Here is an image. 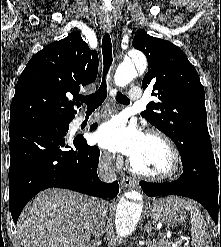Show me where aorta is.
Here are the masks:
<instances>
[{
    "mask_svg": "<svg viewBox=\"0 0 221 247\" xmlns=\"http://www.w3.org/2000/svg\"><path fill=\"white\" fill-rule=\"evenodd\" d=\"M126 70L129 75L134 70L143 73L147 67L144 55L138 51H129L126 58ZM142 212L141 202H132L122 197L117 205L115 215L116 234L125 237L131 234L140 219Z\"/></svg>",
    "mask_w": 221,
    "mask_h": 247,
    "instance_id": "obj_1",
    "label": "aorta"
}]
</instances>
